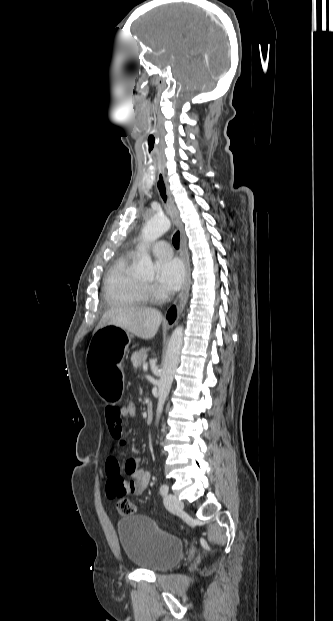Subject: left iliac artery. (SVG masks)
<instances>
[{"label": "left iliac artery", "mask_w": 333, "mask_h": 621, "mask_svg": "<svg viewBox=\"0 0 333 621\" xmlns=\"http://www.w3.org/2000/svg\"><path fill=\"white\" fill-rule=\"evenodd\" d=\"M168 490H169V488H168V486H167L166 484H162V485H161V487H160V493H161L162 495H166V494L168 493Z\"/></svg>", "instance_id": "1"}]
</instances>
